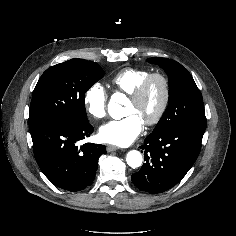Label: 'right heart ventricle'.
Listing matches in <instances>:
<instances>
[{
  "label": "right heart ventricle",
  "instance_id": "obj_1",
  "mask_svg": "<svg viewBox=\"0 0 236 236\" xmlns=\"http://www.w3.org/2000/svg\"><path fill=\"white\" fill-rule=\"evenodd\" d=\"M150 73L145 68H125L111 79V84L117 91L130 95Z\"/></svg>",
  "mask_w": 236,
  "mask_h": 236
}]
</instances>
